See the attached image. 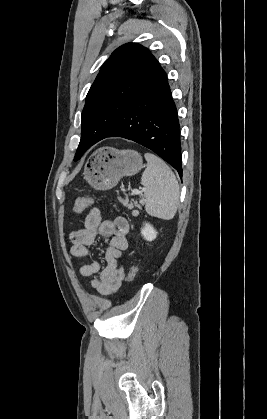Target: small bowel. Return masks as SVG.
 I'll return each mask as SVG.
<instances>
[{"label":"small bowel","instance_id":"1","mask_svg":"<svg viewBox=\"0 0 267 419\" xmlns=\"http://www.w3.org/2000/svg\"><path fill=\"white\" fill-rule=\"evenodd\" d=\"M130 231L128 221L124 217L114 220H102L99 208H92L84 219V227L70 234L72 242L70 253L74 257H90L91 246L96 237L100 236L108 241L105 251V266L97 261L83 264L79 268L82 277H93L90 284L102 295L114 294L121 286L125 277V257L128 249L127 236Z\"/></svg>","mask_w":267,"mask_h":419}]
</instances>
